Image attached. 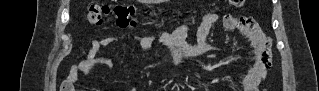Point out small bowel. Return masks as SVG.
I'll return each instance as SVG.
<instances>
[{"mask_svg": "<svg viewBox=\"0 0 319 91\" xmlns=\"http://www.w3.org/2000/svg\"><path fill=\"white\" fill-rule=\"evenodd\" d=\"M218 19L219 14L208 13L199 20L194 27L196 38V44L194 45L187 43L188 34L191 29V27L187 25H181L177 27L171 35L163 37L164 44L172 55L173 63L180 65L189 61H196L208 54L220 52V47L208 41L212 26ZM223 25L227 30L239 32L252 48V63L241 80V88L243 91H258L268 71V67L265 65L263 59V51L267 46L269 47L268 38L256 22L247 17L225 15ZM128 36L136 40L145 54L149 55L151 53V40L154 38L153 34L142 35L129 33ZM116 40L117 37L114 36H106L94 40L89 57L72 67L69 74L70 80L74 81L79 72L85 69L92 67L110 68L114 60L109 57L98 56L97 53L99 50L109 47ZM121 46L124 52L129 51V45L125 41L121 43ZM135 90V88L129 89V91Z\"/></svg>", "mask_w": 319, "mask_h": 91, "instance_id": "1", "label": "small bowel"}]
</instances>
